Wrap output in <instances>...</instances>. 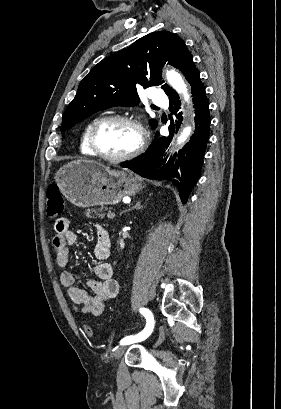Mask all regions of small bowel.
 Returning a JSON list of instances; mask_svg holds the SVG:
<instances>
[{
	"label": "small bowel",
	"mask_w": 281,
	"mask_h": 409,
	"mask_svg": "<svg viewBox=\"0 0 281 409\" xmlns=\"http://www.w3.org/2000/svg\"><path fill=\"white\" fill-rule=\"evenodd\" d=\"M97 240L94 256L97 263L93 267L97 280H89L88 287L93 291L89 295L75 285V275L69 270L60 274V282L67 289L72 308L77 313H91L94 316L102 314L106 303L119 294V283L114 278V270L108 259L112 255V243L109 233L99 224L95 225ZM52 243L56 253L57 265L66 268L70 259V246L78 241V236L70 230L69 220L59 218L53 225Z\"/></svg>",
	"instance_id": "1"
}]
</instances>
